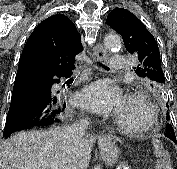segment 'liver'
Wrapping results in <instances>:
<instances>
[{
  "instance_id": "obj_1",
  "label": "liver",
  "mask_w": 177,
  "mask_h": 169,
  "mask_svg": "<svg viewBox=\"0 0 177 169\" xmlns=\"http://www.w3.org/2000/svg\"><path fill=\"white\" fill-rule=\"evenodd\" d=\"M61 129L19 132L3 143L0 169H64ZM93 141L82 139L76 151L79 169L91 159Z\"/></svg>"
}]
</instances>
